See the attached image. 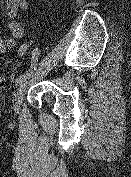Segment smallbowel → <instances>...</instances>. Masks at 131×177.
Here are the masks:
<instances>
[{
    "mask_svg": "<svg viewBox=\"0 0 131 177\" xmlns=\"http://www.w3.org/2000/svg\"><path fill=\"white\" fill-rule=\"evenodd\" d=\"M6 15L9 18L8 29L10 37L6 39L0 38V53L8 48L15 47L24 36V27L18 20L20 11H27L29 8L27 0H5ZM27 50L26 44L19 45V53L23 54Z\"/></svg>",
    "mask_w": 131,
    "mask_h": 177,
    "instance_id": "1",
    "label": "small bowel"
}]
</instances>
